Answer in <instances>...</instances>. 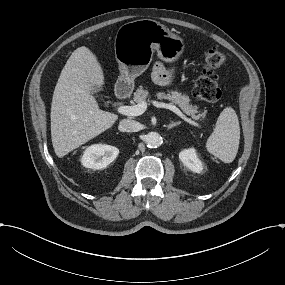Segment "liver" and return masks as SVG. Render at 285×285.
<instances>
[{"label":"liver","mask_w":285,"mask_h":285,"mask_svg":"<svg viewBox=\"0 0 285 285\" xmlns=\"http://www.w3.org/2000/svg\"><path fill=\"white\" fill-rule=\"evenodd\" d=\"M106 87L96 54L81 46L67 60L56 85L51 109V136L56 156L64 158L112 128L118 115L102 111L95 94Z\"/></svg>","instance_id":"1"}]
</instances>
